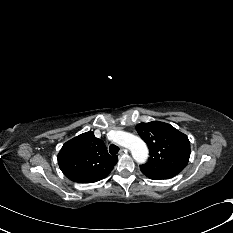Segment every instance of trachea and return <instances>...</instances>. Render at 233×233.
Segmentation results:
<instances>
[{
    "instance_id": "3493384b",
    "label": "trachea",
    "mask_w": 233,
    "mask_h": 233,
    "mask_svg": "<svg viewBox=\"0 0 233 233\" xmlns=\"http://www.w3.org/2000/svg\"><path fill=\"white\" fill-rule=\"evenodd\" d=\"M118 151H119V147H118V146H116V145H114V144H111V145L109 146V152H110L111 155L117 154Z\"/></svg>"
}]
</instances>
